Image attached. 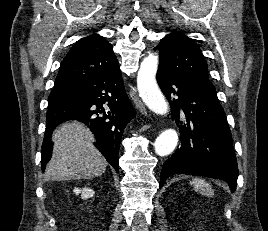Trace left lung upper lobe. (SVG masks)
<instances>
[{"mask_svg": "<svg viewBox=\"0 0 268 231\" xmlns=\"http://www.w3.org/2000/svg\"><path fill=\"white\" fill-rule=\"evenodd\" d=\"M155 49L159 50V68L196 83L217 98L208 77L207 63L194 40L182 33L172 32L162 38Z\"/></svg>", "mask_w": 268, "mask_h": 231, "instance_id": "5c2ea615", "label": "left lung upper lobe"}]
</instances>
